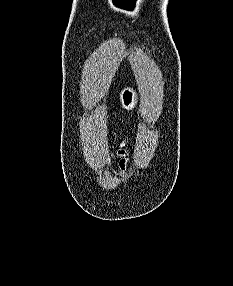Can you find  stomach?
Here are the masks:
<instances>
[{
  "instance_id": "stomach-1",
  "label": "stomach",
  "mask_w": 233,
  "mask_h": 286,
  "mask_svg": "<svg viewBox=\"0 0 233 286\" xmlns=\"http://www.w3.org/2000/svg\"><path fill=\"white\" fill-rule=\"evenodd\" d=\"M120 103L123 109L131 111L136 107L137 95L132 88H124L119 95Z\"/></svg>"
}]
</instances>
